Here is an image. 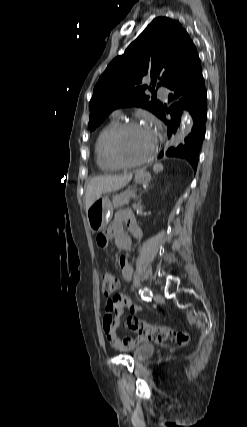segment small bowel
<instances>
[{
	"label": "small bowel",
	"mask_w": 247,
	"mask_h": 427,
	"mask_svg": "<svg viewBox=\"0 0 247 427\" xmlns=\"http://www.w3.org/2000/svg\"><path fill=\"white\" fill-rule=\"evenodd\" d=\"M123 224H126L128 229L137 238L142 237V232L137 226L132 213L127 210H121L116 213L108 228L97 237L98 246L102 249H106L109 246V242L114 240L118 248L122 250H130L132 248V241L124 234ZM118 265L123 279L130 281L133 277V269L127 258L125 256H120L118 259ZM140 310L141 307L139 305L135 304L124 295H116L108 301L104 311L102 327L104 335L113 349L118 351H127L145 341V339L140 336L136 339H133L130 336L120 338L116 333V330L120 325V317L125 311L136 314Z\"/></svg>",
	"instance_id": "1"
}]
</instances>
